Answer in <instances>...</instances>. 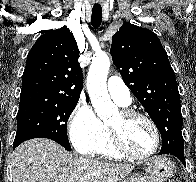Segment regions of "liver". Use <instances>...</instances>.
Here are the masks:
<instances>
[{
    "label": "liver",
    "mask_w": 196,
    "mask_h": 182,
    "mask_svg": "<svg viewBox=\"0 0 196 182\" xmlns=\"http://www.w3.org/2000/svg\"><path fill=\"white\" fill-rule=\"evenodd\" d=\"M134 165L113 164L67 152L44 138L25 141L12 155V182H119Z\"/></svg>",
    "instance_id": "liver-1"
}]
</instances>
